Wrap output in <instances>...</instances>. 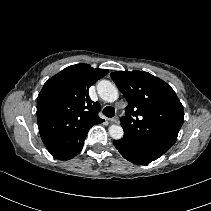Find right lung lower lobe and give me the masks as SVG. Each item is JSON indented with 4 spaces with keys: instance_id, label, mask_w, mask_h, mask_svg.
I'll use <instances>...</instances> for the list:
<instances>
[{
    "instance_id": "right-lung-lower-lobe-1",
    "label": "right lung lower lobe",
    "mask_w": 211,
    "mask_h": 211,
    "mask_svg": "<svg viewBox=\"0 0 211 211\" xmlns=\"http://www.w3.org/2000/svg\"><path fill=\"white\" fill-rule=\"evenodd\" d=\"M84 140H85V138H84ZM84 140H83V142L81 143V145H80V147H79V149L77 150V152L74 154V156H76L80 151H81V149H82V147H83V144H84ZM73 156V157H74ZM72 157V158H73Z\"/></svg>"
}]
</instances>
